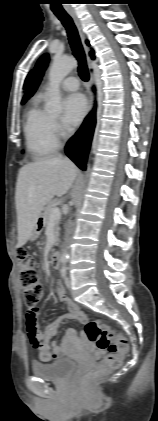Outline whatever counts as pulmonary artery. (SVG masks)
Segmentation results:
<instances>
[{"instance_id": "e3ab8cb5", "label": "pulmonary artery", "mask_w": 158, "mask_h": 421, "mask_svg": "<svg viewBox=\"0 0 158 421\" xmlns=\"http://www.w3.org/2000/svg\"><path fill=\"white\" fill-rule=\"evenodd\" d=\"M60 86L66 91H76L79 88V81L76 77H67L61 82Z\"/></svg>"}]
</instances>
